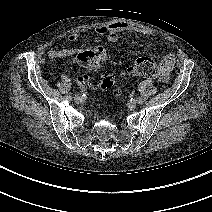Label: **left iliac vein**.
I'll return each mask as SVG.
<instances>
[{
  "instance_id": "left-iliac-vein-1",
  "label": "left iliac vein",
  "mask_w": 212,
  "mask_h": 212,
  "mask_svg": "<svg viewBox=\"0 0 212 212\" xmlns=\"http://www.w3.org/2000/svg\"><path fill=\"white\" fill-rule=\"evenodd\" d=\"M137 107V101H131L130 103H129V108H131V109H135Z\"/></svg>"
}]
</instances>
